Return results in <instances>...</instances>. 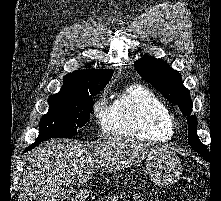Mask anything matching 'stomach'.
Segmentation results:
<instances>
[{
    "instance_id": "0dacf381",
    "label": "stomach",
    "mask_w": 221,
    "mask_h": 201,
    "mask_svg": "<svg viewBox=\"0 0 221 201\" xmlns=\"http://www.w3.org/2000/svg\"><path fill=\"white\" fill-rule=\"evenodd\" d=\"M146 170L154 183L169 186L179 178L182 166L177 155L171 150L148 156Z\"/></svg>"
}]
</instances>
